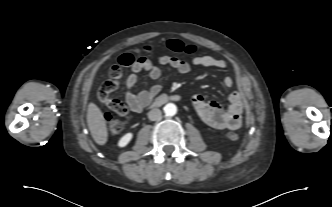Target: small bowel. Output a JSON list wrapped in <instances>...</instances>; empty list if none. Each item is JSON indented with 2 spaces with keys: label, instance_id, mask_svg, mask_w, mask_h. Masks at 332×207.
<instances>
[{
  "label": "small bowel",
  "instance_id": "obj_1",
  "mask_svg": "<svg viewBox=\"0 0 332 207\" xmlns=\"http://www.w3.org/2000/svg\"><path fill=\"white\" fill-rule=\"evenodd\" d=\"M158 62L164 66L175 69L180 74H188L191 71V64L178 59L177 57L163 55L158 58ZM192 64L203 67H215L225 69L228 64L223 59H217L209 55L197 56L192 60ZM132 73L126 80L125 98L127 106H125V115L129 111L133 113H140L144 107L149 105L153 98L161 91L159 84H153L148 89L135 94V87L138 82V74L146 72L147 75L156 80L161 76L160 68L152 63L149 59L138 58L131 67ZM224 85L231 87L234 84L232 77L224 78ZM230 105L225 110L219 104L207 101L200 94L194 96V105L196 107L200 120L215 129H229L235 130L242 125V112L244 108L242 95L239 92H234L230 95Z\"/></svg>",
  "mask_w": 332,
  "mask_h": 207
}]
</instances>
